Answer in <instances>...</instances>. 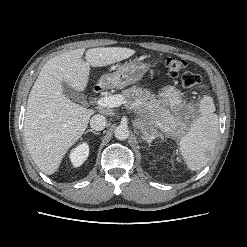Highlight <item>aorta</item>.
Masks as SVG:
<instances>
[{"label":"aorta","instance_id":"1","mask_svg":"<svg viewBox=\"0 0 247 247\" xmlns=\"http://www.w3.org/2000/svg\"><path fill=\"white\" fill-rule=\"evenodd\" d=\"M129 128L124 125H119L114 131V135L118 140H126L129 137Z\"/></svg>","mask_w":247,"mask_h":247}]
</instances>
